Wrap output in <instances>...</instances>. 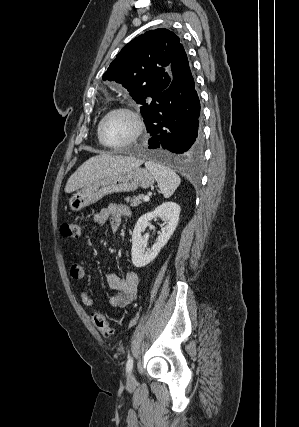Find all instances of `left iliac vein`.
Returning <instances> with one entry per match:
<instances>
[{
    "label": "left iliac vein",
    "instance_id": "obj_1",
    "mask_svg": "<svg viewBox=\"0 0 299 427\" xmlns=\"http://www.w3.org/2000/svg\"><path fill=\"white\" fill-rule=\"evenodd\" d=\"M128 383H129V384H133V383H135V376H134V374H133V373H131V374L129 375V377H128Z\"/></svg>",
    "mask_w": 299,
    "mask_h": 427
}]
</instances>
